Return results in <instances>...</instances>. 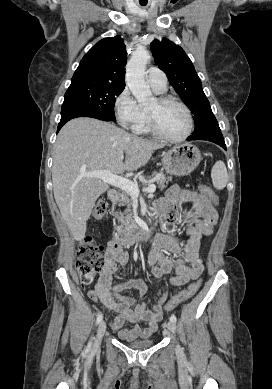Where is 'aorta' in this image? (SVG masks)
<instances>
[{"label": "aorta", "instance_id": "762f6f07", "mask_svg": "<svg viewBox=\"0 0 272 389\" xmlns=\"http://www.w3.org/2000/svg\"><path fill=\"white\" fill-rule=\"evenodd\" d=\"M149 52L143 48H137L126 66V82L139 105H148L155 101L152 92L145 81L146 65L150 60Z\"/></svg>", "mask_w": 272, "mask_h": 389}]
</instances>
